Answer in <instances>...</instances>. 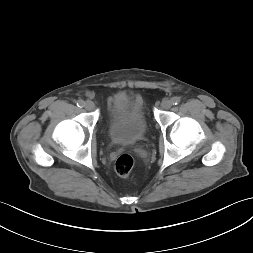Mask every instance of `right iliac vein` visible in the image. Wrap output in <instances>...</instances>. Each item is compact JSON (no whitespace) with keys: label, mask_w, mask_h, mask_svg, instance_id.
<instances>
[{"label":"right iliac vein","mask_w":253,"mask_h":253,"mask_svg":"<svg viewBox=\"0 0 253 253\" xmlns=\"http://www.w3.org/2000/svg\"><path fill=\"white\" fill-rule=\"evenodd\" d=\"M84 107L86 110H93L95 105H94L93 101L87 100L84 104Z\"/></svg>","instance_id":"right-iliac-vein-1"}]
</instances>
